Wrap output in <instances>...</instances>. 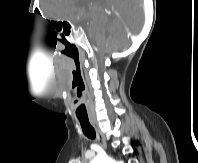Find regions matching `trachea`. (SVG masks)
<instances>
[{
  "instance_id": "trachea-1",
  "label": "trachea",
  "mask_w": 198,
  "mask_h": 163,
  "mask_svg": "<svg viewBox=\"0 0 198 163\" xmlns=\"http://www.w3.org/2000/svg\"><path fill=\"white\" fill-rule=\"evenodd\" d=\"M77 117L80 121L82 130L85 136H87L90 139H95L96 133H95L93 126L89 122L88 117H83V116H77Z\"/></svg>"
}]
</instances>
